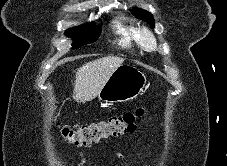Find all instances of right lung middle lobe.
<instances>
[{"label": "right lung middle lobe", "instance_id": "obj_1", "mask_svg": "<svg viewBox=\"0 0 227 166\" xmlns=\"http://www.w3.org/2000/svg\"><path fill=\"white\" fill-rule=\"evenodd\" d=\"M100 32L101 26H97L93 22L69 29L66 31V35L74 38L73 48H78L82 45L95 42L99 37Z\"/></svg>", "mask_w": 227, "mask_h": 166}]
</instances>
